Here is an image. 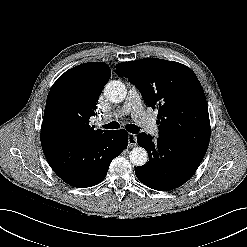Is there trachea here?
<instances>
[{
  "label": "trachea",
  "instance_id": "1",
  "mask_svg": "<svg viewBox=\"0 0 247 247\" xmlns=\"http://www.w3.org/2000/svg\"><path fill=\"white\" fill-rule=\"evenodd\" d=\"M103 127L105 129H118V128H120V124L116 121H113V122H110L106 125H103ZM125 128L128 132L133 133V134H136L139 131L138 126H136L134 124H127Z\"/></svg>",
  "mask_w": 247,
  "mask_h": 247
}]
</instances>
